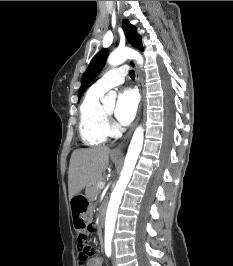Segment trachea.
Returning a JSON list of instances; mask_svg holds the SVG:
<instances>
[{"label": "trachea", "instance_id": "obj_1", "mask_svg": "<svg viewBox=\"0 0 233 266\" xmlns=\"http://www.w3.org/2000/svg\"><path fill=\"white\" fill-rule=\"evenodd\" d=\"M129 75L131 78H135V72L133 70H130Z\"/></svg>", "mask_w": 233, "mask_h": 266}]
</instances>
